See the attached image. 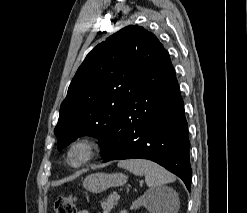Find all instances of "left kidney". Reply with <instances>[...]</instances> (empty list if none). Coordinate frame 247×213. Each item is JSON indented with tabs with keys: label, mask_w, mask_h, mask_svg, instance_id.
I'll return each mask as SVG.
<instances>
[{
	"label": "left kidney",
	"mask_w": 247,
	"mask_h": 213,
	"mask_svg": "<svg viewBox=\"0 0 247 213\" xmlns=\"http://www.w3.org/2000/svg\"><path fill=\"white\" fill-rule=\"evenodd\" d=\"M164 199L165 197L162 190L147 191L133 202L131 209L136 210L139 207L144 206L150 213H161V205L164 202Z\"/></svg>",
	"instance_id": "left-kidney-1"
}]
</instances>
